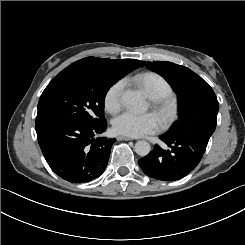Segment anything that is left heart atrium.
<instances>
[{
	"label": "left heart atrium",
	"mask_w": 245,
	"mask_h": 245,
	"mask_svg": "<svg viewBox=\"0 0 245 245\" xmlns=\"http://www.w3.org/2000/svg\"><path fill=\"white\" fill-rule=\"evenodd\" d=\"M113 125L116 133L129 137H141L160 129V122L156 115L138 114L131 111H125L117 116Z\"/></svg>",
	"instance_id": "obj_1"
}]
</instances>
